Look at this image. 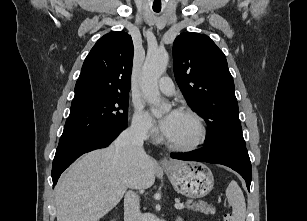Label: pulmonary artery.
<instances>
[{
	"mask_svg": "<svg viewBox=\"0 0 307 221\" xmlns=\"http://www.w3.org/2000/svg\"><path fill=\"white\" fill-rule=\"evenodd\" d=\"M158 87L165 95H173L175 93V86L168 76H164L160 79Z\"/></svg>",
	"mask_w": 307,
	"mask_h": 221,
	"instance_id": "1",
	"label": "pulmonary artery"
}]
</instances>
